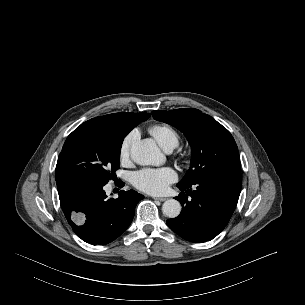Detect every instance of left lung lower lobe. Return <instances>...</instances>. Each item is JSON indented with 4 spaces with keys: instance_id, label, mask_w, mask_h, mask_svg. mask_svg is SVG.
I'll use <instances>...</instances> for the list:
<instances>
[{
    "instance_id": "obj_1",
    "label": "left lung lower lobe",
    "mask_w": 305,
    "mask_h": 305,
    "mask_svg": "<svg viewBox=\"0 0 305 305\" xmlns=\"http://www.w3.org/2000/svg\"><path fill=\"white\" fill-rule=\"evenodd\" d=\"M177 187L182 191L176 197L182 211L178 217L168 219L167 225L190 242L210 241L225 228L237 205L242 187L241 171L219 172L192 185L177 184Z\"/></svg>"
}]
</instances>
